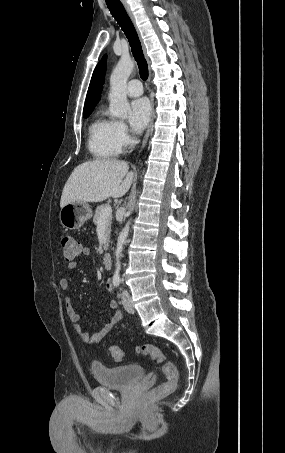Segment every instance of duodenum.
Returning a JSON list of instances; mask_svg holds the SVG:
<instances>
[{
	"label": "duodenum",
	"mask_w": 285,
	"mask_h": 453,
	"mask_svg": "<svg viewBox=\"0 0 285 453\" xmlns=\"http://www.w3.org/2000/svg\"><path fill=\"white\" fill-rule=\"evenodd\" d=\"M103 264L106 268H110L112 266V256L110 253H105L102 257Z\"/></svg>",
	"instance_id": "duodenum-1"
}]
</instances>
